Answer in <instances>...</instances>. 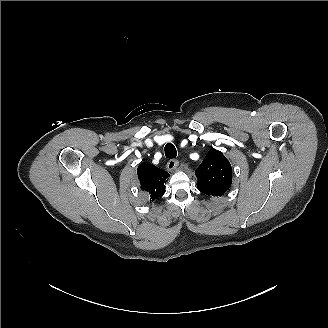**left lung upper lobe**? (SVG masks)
I'll return each instance as SVG.
<instances>
[{"label": "left lung upper lobe", "mask_w": 328, "mask_h": 328, "mask_svg": "<svg viewBox=\"0 0 328 328\" xmlns=\"http://www.w3.org/2000/svg\"><path fill=\"white\" fill-rule=\"evenodd\" d=\"M197 187L206 195L222 196L232 182V168L222 152L210 150L195 172Z\"/></svg>", "instance_id": "obj_1"}]
</instances>
